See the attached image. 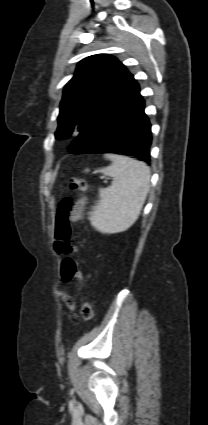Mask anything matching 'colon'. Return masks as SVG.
Instances as JSON below:
<instances>
[{"label": "colon", "mask_w": 208, "mask_h": 425, "mask_svg": "<svg viewBox=\"0 0 208 425\" xmlns=\"http://www.w3.org/2000/svg\"><path fill=\"white\" fill-rule=\"evenodd\" d=\"M70 187L78 193L77 198H64L58 207L55 219L54 247L59 253H75L78 247L71 243L72 227L80 218L85 204V195L87 184L84 179L72 177ZM60 274L63 281H76L80 292L84 291L85 278L80 269V262L72 258H66L61 263ZM66 305L73 309L75 306L74 298L62 291L58 292ZM78 318L88 321L93 317V309L89 301L81 302L80 311L76 314Z\"/></svg>", "instance_id": "1"}]
</instances>
